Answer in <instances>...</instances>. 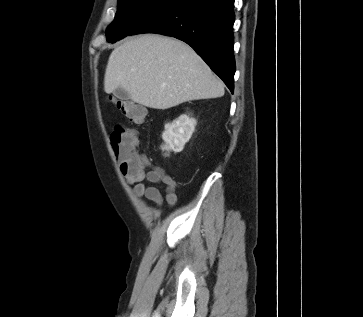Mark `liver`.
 I'll return each instance as SVG.
<instances>
[{
  "mask_svg": "<svg viewBox=\"0 0 363 317\" xmlns=\"http://www.w3.org/2000/svg\"><path fill=\"white\" fill-rule=\"evenodd\" d=\"M118 87L134 102L154 109L224 95L222 81L190 46L157 34L128 38L112 51L104 91L110 94Z\"/></svg>",
  "mask_w": 363,
  "mask_h": 317,
  "instance_id": "liver-1",
  "label": "liver"
}]
</instances>
